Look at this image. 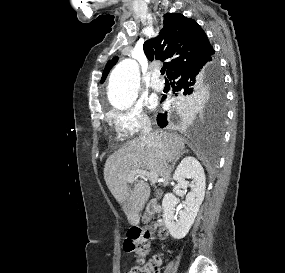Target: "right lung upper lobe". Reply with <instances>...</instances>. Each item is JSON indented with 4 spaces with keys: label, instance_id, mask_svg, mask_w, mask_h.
<instances>
[{
    "label": "right lung upper lobe",
    "instance_id": "obj_1",
    "mask_svg": "<svg viewBox=\"0 0 285 273\" xmlns=\"http://www.w3.org/2000/svg\"><path fill=\"white\" fill-rule=\"evenodd\" d=\"M143 48L150 61L167 60L164 65L168 77L179 68L214 54V49L200 25L182 14H165L159 35L147 40ZM116 61L117 58H113L107 64L102 82Z\"/></svg>",
    "mask_w": 285,
    "mask_h": 273
}]
</instances>
